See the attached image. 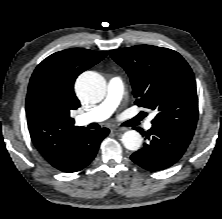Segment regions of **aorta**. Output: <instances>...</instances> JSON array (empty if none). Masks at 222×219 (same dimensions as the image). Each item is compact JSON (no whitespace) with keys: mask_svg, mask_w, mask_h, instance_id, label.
Listing matches in <instances>:
<instances>
[{"mask_svg":"<svg viewBox=\"0 0 222 219\" xmlns=\"http://www.w3.org/2000/svg\"><path fill=\"white\" fill-rule=\"evenodd\" d=\"M105 86L104 78L93 71L82 73L76 81L77 94L87 103L100 102L105 96ZM142 142V136L135 130L126 131L122 136L124 147L131 151L138 150Z\"/></svg>","mask_w":222,"mask_h":219,"instance_id":"762f6f07","label":"aorta"}]
</instances>
